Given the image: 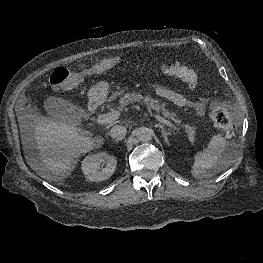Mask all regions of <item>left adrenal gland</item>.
I'll return each instance as SVG.
<instances>
[{"instance_id":"1","label":"left adrenal gland","mask_w":263,"mask_h":263,"mask_svg":"<svg viewBox=\"0 0 263 263\" xmlns=\"http://www.w3.org/2000/svg\"><path fill=\"white\" fill-rule=\"evenodd\" d=\"M156 126L161 129V131H162V136H163L165 142L169 145V140H168V137H167V136L170 135V133L167 132V131L165 130V128H164L161 124H156Z\"/></svg>"}]
</instances>
